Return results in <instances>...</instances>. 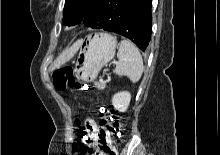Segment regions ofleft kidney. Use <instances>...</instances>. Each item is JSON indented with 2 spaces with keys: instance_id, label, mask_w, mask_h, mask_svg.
Instances as JSON below:
<instances>
[{
  "instance_id": "5707ae66",
  "label": "left kidney",
  "mask_w": 220,
  "mask_h": 155,
  "mask_svg": "<svg viewBox=\"0 0 220 155\" xmlns=\"http://www.w3.org/2000/svg\"><path fill=\"white\" fill-rule=\"evenodd\" d=\"M131 100V94L127 91L116 93L112 98V104L116 110L125 112L128 109Z\"/></svg>"
}]
</instances>
